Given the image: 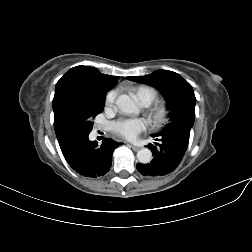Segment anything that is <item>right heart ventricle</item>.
Returning a JSON list of instances; mask_svg holds the SVG:
<instances>
[{
    "label": "right heart ventricle",
    "mask_w": 252,
    "mask_h": 252,
    "mask_svg": "<svg viewBox=\"0 0 252 252\" xmlns=\"http://www.w3.org/2000/svg\"><path fill=\"white\" fill-rule=\"evenodd\" d=\"M132 96L143 106L150 105L157 97L156 88L149 85H138L130 89Z\"/></svg>",
    "instance_id": "obj_1"
}]
</instances>
